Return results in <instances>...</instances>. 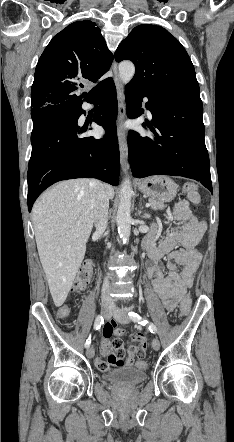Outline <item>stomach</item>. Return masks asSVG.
Wrapping results in <instances>:
<instances>
[{"instance_id": "obj_1", "label": "stomach", "mask_w": 234, "mask_h": 442, "mask_svg": "<svg viewBox=\"0 0 234 442\" xmlns=\"http://www.w3.org/2000/svg\"><path fill=\"white\" fill-rule=\"evenodd\" d=\"M138 189L152 199L162 202L172 201L177 194V184L167 176H153L141 180Z\"/></svg>"}]
</instances>
